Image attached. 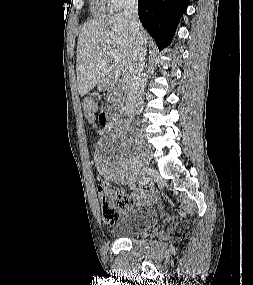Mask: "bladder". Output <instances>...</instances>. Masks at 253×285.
Returning <instances> with one entry per match:
<instances>
[{"mask_svg": "<svg viewBox=\"0 0 253 285\" xmlns=\"http://www.w3.org/2000/svg\"><path fill=\"white\" fill-rule=\"evenodd\" d=\"M161 218L157 209L133 206L122 213L111 227V232L118 238H133L156 227Z\"/></svg>", "mask_w": 253, "mask_h": 285, "instance_id": "obj_1", "label": "bladder"}]
</instances>
